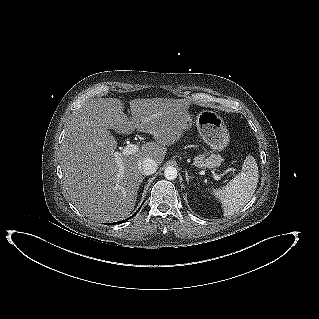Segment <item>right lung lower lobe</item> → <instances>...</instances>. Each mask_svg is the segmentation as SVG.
<instances>
[{
    "mask_svg": "<svg viewBox=\"0 0 319 319\" xmlns=\"http://www.w3.org/2000/svg\"><path fill=\"white\" fill-rule=\"evenodd\" d=\"M140 209V208H139ZM138 209V210H139ZM136 215V213L133 215V216H135ZM133 216H131V217H133ZM126 220H124V221H120V222H118V223H122V222H125ZM112 224H115V223H112Z\"/></svg>",
    "mask_w": 319,
    "mask_h": 319,
    "instance_id": "obj_1",
    "label": "right lung lower lobe"
}]
</instances>
